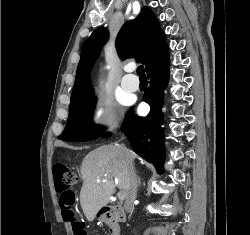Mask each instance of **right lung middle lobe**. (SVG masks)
Here are the masks:
<instances>
[{
	"instance_id": "obj_1",
	"label": "right lung middle lobe",
	"mask_w": 250,
	"mask_h": 235,
	"mask_svg": "<svg viewBox=\"0 0 250 235\" xmlns=\"http://www.w3.org/2000/svg\"><path fill=\"white\" fill-rule=\"evenodd\" d=\"M95 103L93 90L72 100L66 129L58 138L64 141L84 142L102 136L105 129L92 122Z\"/></svg>"
}]
</instances>
